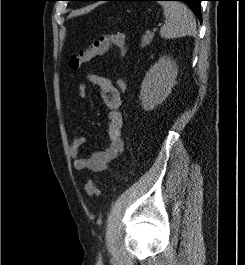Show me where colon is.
<instances>
[{
  "label": "colon",
  "mask_w": 245,
  "mask_h": 265,
  "mask_svg": "<svg viewBox=\"0 0 245 265\" xmlns=\"http://www.w3.org/2000/svg\"><path fill=\"white\" fill-rule=\"evenodd\" d=\"M112 47L119 50L121 57L125 56L127 52V44L125 34L122 32H115L111 34H103L97 37L89 46L78 50L70 56L68 61L69 68L73 71L79 70L80 67L89 62L92 58L107 53ZM117 86L120 91L127 89V82L124 78L117 81ZM85 192L90 198L99 195V189L96 182L93 180L85 184Z\"/></svg>",
  "instance_id": "obj_1"
}]
</instances>
